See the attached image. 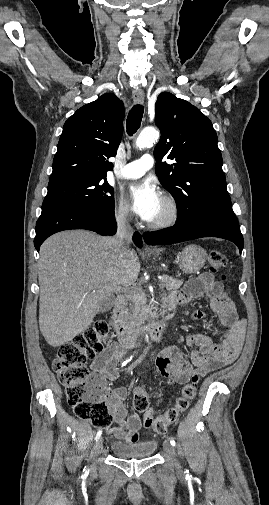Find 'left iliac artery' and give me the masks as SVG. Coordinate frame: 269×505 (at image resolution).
Segmentation results:
<instances>
[{"instance_id": "left-iliac-artery-1", "label": "left iliac artery", "mask_w": 269, "mask_h": 505, "mask_svg": "<svg viewBox=\"0 0 269 505\" xmlns=\"http://www.w3.org/2000/svg\"><path fill=\"white\" fill-rule=\"evenodd\" d=\"M170 444H171L172 446H175V445H176V442H175L173 439H170ZM186 473H188V471H186Z\"/></svg>"}]
</instances>
